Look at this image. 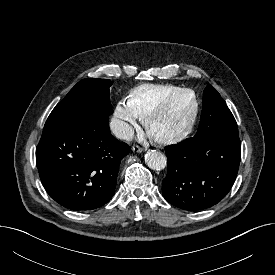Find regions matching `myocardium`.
<instances>
[{"mask_svg":"<svg viewBox=\"0 0 275 275\" xmlns=\"http://www.w3.org/2000/svg\"><path fill=\"white\" fill-rule=\"evenodd\" d=\"M182 94H189L193 98V111L186 126L181 131L173 135L164 136V137L153 136L149 130V125L151 121L155 117L160 115L176 97ZM199 109H200V102L196 92L190 88H179L173 91L172 93L168 94L167 96H165L156 106H154L148 112V114L144 117L143 123L147 131L150 133V135L156 142L161 144H175L184 140L192 132L197 122Z\"/></svg>","mask_w":275,"mask_h":275,"instance_id":"f54148a6","label":"myocardium"}]
</instances>
